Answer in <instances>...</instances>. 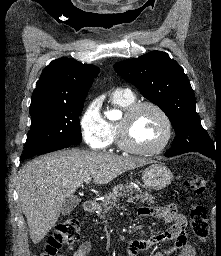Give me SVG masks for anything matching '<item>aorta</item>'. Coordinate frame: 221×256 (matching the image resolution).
I'll use <instances>...</instances> for the list:
<instances>
[{
    "mask_svg": "<svg viewBox=\"0 0 221 256\" xmlns=\"http://www.w3.org/2000/svg\"><path fill=\"white\" fill-rule=\"evenodd\" d=\"M116 113H117L116 111H110V112L108 113V115H109V116H114Z\"/></svg>",
    "mask_w": 221,
    "mask_h": 256,
    "instance_id": "762f6f07",
    "label": "aorta"
}]
</instances>
